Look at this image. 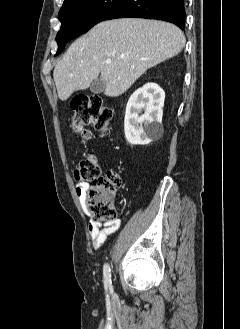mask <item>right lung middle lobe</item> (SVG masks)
I'll return each instance as SVG.
<instances>
[{"label": "right lung middle lobe", "instance_id": "right-lung-middle-lobe-1", "mask_svg": "<svg viewBox=\"0 0 240 329\" xmlns=\"http://www.w3.org/2000/svg\"><path fill=\"white\" fill-rule=\"evenodd\" d=\"M122 0H73L61 7V29L57 33L58 51L72 38L87 32L114 9Z\"/></svg>", "mask_w": 240, "mask_h": 329}]
</instances>
